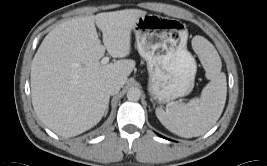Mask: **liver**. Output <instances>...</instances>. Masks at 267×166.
I'll return each mask as SVG.
<instances>
[{"mask_svg":"<svg viewBox=\"0 0 267 166\" xmlns=\"http://www.w3.org/2000/svg\"><path fill=\"white\" fill-rule=\"evenodd\" d=\"M146 11L125 9L64 21L50 31L31 64V97L39 119L64 137L94 127L109 103L105 84L123 86L135 67L132 59L102 64L105 50L113 58L131 51V31ZM102 31L103 44L96 31Z\"/></svg>","mask_w":267,"mask_h":166,"instance_id":"obj_1","label":"liver"}]
</instances>
